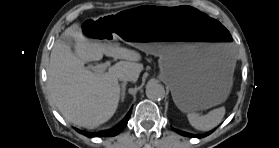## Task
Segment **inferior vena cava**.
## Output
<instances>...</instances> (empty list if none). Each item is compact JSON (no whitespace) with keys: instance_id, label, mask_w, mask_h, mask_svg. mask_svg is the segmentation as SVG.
I'll list each match as a JSON object with an SVG mask.
<instances>
[{"instance_id":"inferior-vena-cava-1","label":"inferior vena cava","mask_w":279,"mask_h":148,"mask_svg":"<svg viewBox=\"0 0 279 148\" xmlns=\"http://www.w3.org/2000/svg\"><path fill=\"white\" fill-rule=\"evenodd\" d=\"M119 80L126 82V81H130L131 79L129 77H127V76H120Z\"/></svg>"}]
</instances>
